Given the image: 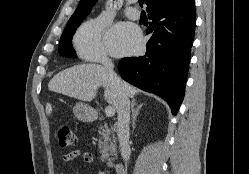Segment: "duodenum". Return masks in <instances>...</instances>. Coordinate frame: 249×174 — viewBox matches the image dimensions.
<instances>
[{
    "label": "duodenum",
    "instance_id": "1",
    "mask_svg": "<svg viewBox=\"0 0 249 174\" xmlns=\"http://www.w3.org/2000/svg\"><path fill=\"white\" fill-rule=\"evenodd\" d=\"M113 170L115 174H125V168L122 164H115Z\"/></svg>",
    "mask_w": 249,
    "mask_h": 174
}]
</instances>
